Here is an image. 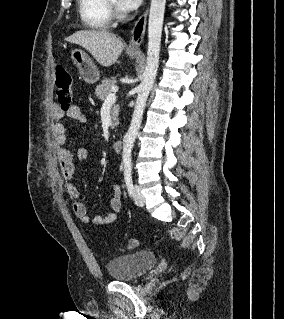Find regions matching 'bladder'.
<instances>
[{"instance_id": "obj_1", "label": "bladder", "mask_w": 284, "mask_h": 319, "mask_svg": "<svg viewBox=\"0 0 284 319\" xmlns=\"http://www.w3.org/2000/svg\"><path fill=\"white\" fill-rule=\"evenodd\" d=\"M157 263V256L148 250L137 251L111 259L106 264L110 278L116 281H132L140 278Z\"/></svg>"}]
</instances>
